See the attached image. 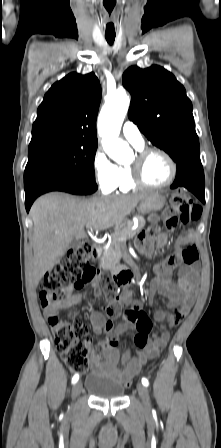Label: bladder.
I'll list each match as a JSON object with an SVG mask.
<instances>
[{"label": "bladder", "mask_w": 221, "mask_h": 448, "mask_svg": "<svg viewBox=\"0 0 221 448\" xmlns=\"http://www.w3.org/2000/svg\"><path fill=\"white\" fill-rule=\"evenodd\" d=\"M86 390L97 399L118 400L124 397L122 381L103 372H92L85 379Z\"/></svg>", "instance_id": "obj_1"}]
</instances>
